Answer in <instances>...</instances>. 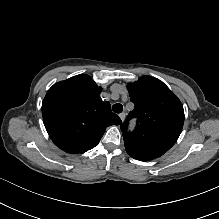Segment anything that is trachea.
<instances>
[{"label":"trachea","instance_id":"trachea-1","mask_svg":"<svg viewBox=\"0 0 219 219\" xmlns=\"http://www.w3.org/2000/svg\"><path fill=\"white\" fill-rule=\"evenodd\" d=\"M112 110H113V112H115L117 114L121 113L123 111V105L120 103H116L113 105Z\"/></svg>","mask_w":219,"mask_h":219}]
</instances>
